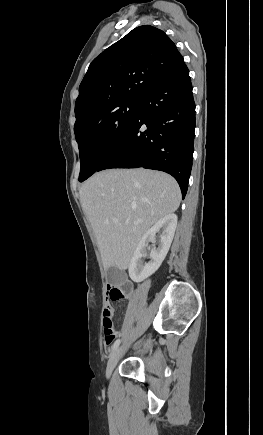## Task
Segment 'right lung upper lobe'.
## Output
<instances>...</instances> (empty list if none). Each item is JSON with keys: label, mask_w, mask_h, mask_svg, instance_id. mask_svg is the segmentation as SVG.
<instances>
[{"label": "right lung upper lobe", "mask_w": 263, "mask_h": 435, "mask_svg": "<svg viewBox=\"0 0 263 435\" xmlns=\"http://www.w3.org/2000/svg\"><path fill=\"white\" fill-rule=\"evenodd\" d=\"M183 64L182 55L164 31L150 25L133 29L91 62L79 87L74 128L108 104L142 100Z\"/></svg>", "instance_id": "obj_1"}]
</instances>
